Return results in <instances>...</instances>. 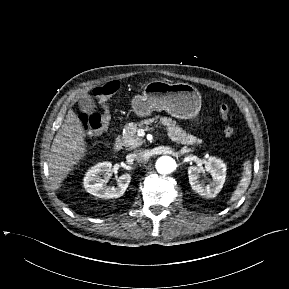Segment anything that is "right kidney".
Masks as SVG:
<instances>
[{
	"instance_id": "obj_1",
	"label": "right kidney",
	"mask_w": 289,
	"mask_h": 289,
	"mask_svg": "<svg viewBox=\"0 0 289 289\" xmlns=\"http://www.w3.org/2000/svg\"><path fill=\"white\" fill-rule=\"evenodd\" d=\"M111 169L112 164L107 161L92 166L86 172L83 179L85 190L88 193L103 199L121 197L131 181V176L129 174H123L117 180V187H106L104 185L105 180L102 179L101 175H104V178H106L107 175L110 174Z\"/></svg>"
}]
</instances>
